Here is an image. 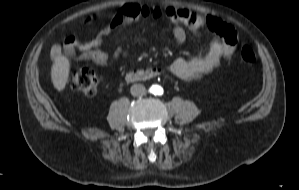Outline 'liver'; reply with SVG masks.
Instances as JSON below:
<instances>
[{
	"label": "liver",
	"instance_id": "obj_1",
	"mask_svg": "<svg viewBox=\"0 0 299 190\" xmlns=\"http://www.w3.org/2000/svg\"><path fill=\"white\" fill-rule=\"evenodd\" d=\"M70 61L65 56H59L53 64L51 79L54 87L58 91L64 90L69 78Z\"/></svg>",
	"mask_w": 299,
	"mask_h": 190
}]
</instances>
